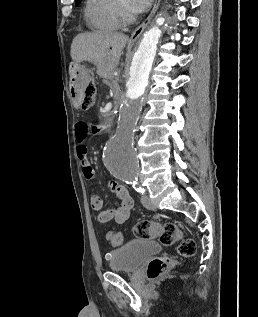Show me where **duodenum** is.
<instances>
[{"label": "duodenum", "instance_id": "1", "mask_svg": "<svg viewBox=\"0 0 258 317\" xmlns=\"http://www.w3.org/2000/svg\"><path fill=\"white\" fill-rule=\"evenodd\" d=\"M71 77H72L73 79H76V70H73V71H72Z\"/></svg>", "mask_w": 258, "mask_h": 317}]
</instances>
